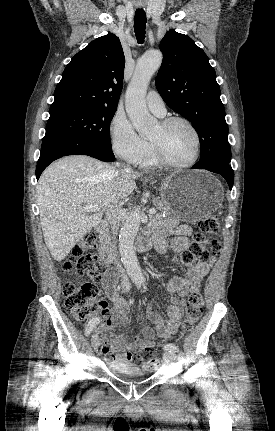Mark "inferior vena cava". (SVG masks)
Wrapping results in <instances>:
<instances>
[{
	"label": "inferior vena cava",
	"mask_w": 275,
	"mask_h": 431,
	"mask_svg": "<svg viewBox=\"0 0 275 431\" xmlns=\"http://www.w3.org/2000/svg\"><path fill=\"white\" fill-rule=\"evenodd\" d=\"M120 166V163L116 162V167ZM125 171H130V169L125 168ZM106 218L110 223L112 234L116 235L120 225V207L118 205V201H115L114 204L110 206L109 210L106 213ZM116 265L118 268L121 269V264L119 262H116ZM122 287L125 290L130 289L128 277L124 273L122 274Z\"/></svg>",
	"instance_id": "obj_1"
}]
</instances>
